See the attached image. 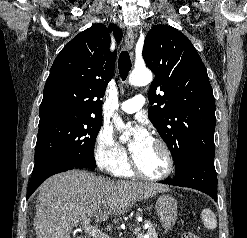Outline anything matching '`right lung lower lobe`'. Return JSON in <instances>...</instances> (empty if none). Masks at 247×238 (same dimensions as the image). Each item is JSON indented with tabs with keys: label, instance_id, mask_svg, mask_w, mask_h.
<instances>
[{
	"label": "right lung lower lobe",
	"instance_id": "98d812e1",
	"mask_svg": "<svg viewBox=\"0 0 247 238\" xmlns=\"http://www.w3.org/2000/svg\"><path fill=\"white\" fill-rule=\"evenodd\" d=\"M79 168L73 165L70 162L61 161V162H54L42 167L38 172L32 175L30 183L28 185L27 190V199L31 196V194L39 187V185L46 180L48 177L64 172L67 170Z\"/></svg>",
	"mask_w": 247,
	"mask_h": 238
}]
</instances>
